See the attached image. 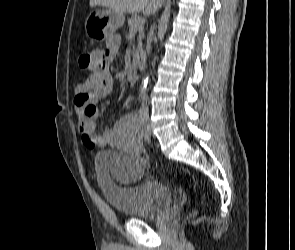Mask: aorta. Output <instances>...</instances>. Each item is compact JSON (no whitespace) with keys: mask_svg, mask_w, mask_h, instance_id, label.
I'll list each match as a JSON object with an SVG mask.
<instances>
[{"mask_svg":"<svg viewBox=\"0 0 295 250\" xmlns=\"http://www.w3.org/2000/svg\"><path fill=\"white\" fill-rule=\"evenodd\" d=\"M148 81L149 78L148 76L143 80L141 88H140V92H139V98H141V100H144L146 97V91H147V86H148Z\"/></svg>","mask_w":295,"mask_h":250,"instance_id":"aorta-1","label":"aorta"}]
</instances>
